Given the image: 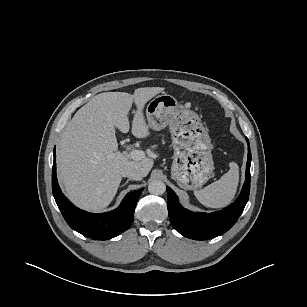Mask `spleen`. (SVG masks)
Returning a JSON list of instances; mask_svg holds the SVG:
<instances>
[{
    "label": "spleen",
    "instance_id": "1",
    "mask_svg": "<svg viewBox=\"0 0 307 307\" xmlns=\"http://www.w3.org/2000/svg\"><path fill=\"white\" fill-rule=\"evenodd\" d=\"M229 171L218 181L211 183L201 190H195L197 200L209 208H223L231 203L239 182V167L237 163H229Z\"/></svg>",
    "mask_w": 307,
    "mask_h": 307
}]
</instances>
